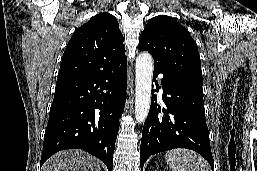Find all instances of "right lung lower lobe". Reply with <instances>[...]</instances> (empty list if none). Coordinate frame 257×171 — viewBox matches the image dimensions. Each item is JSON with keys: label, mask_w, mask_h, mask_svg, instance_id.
Here are the masks:
<instances>
[{"label": "right lung lower lobe", "mask_w": 257, "mask_h": 171, "mask_svg": "<svg viewBox=\"0 0 257 171\" xmlns=\"http://www.w3.org/2000/svg\"><path fill=\"white\" fill-rule=\"evenodd\" d=\"M127 63L93 75L57 81L40 167L54 153L82 149L113 169V152L126 99Z\"/></svg>", "instance_id": "obj_1"}]
</instances>
